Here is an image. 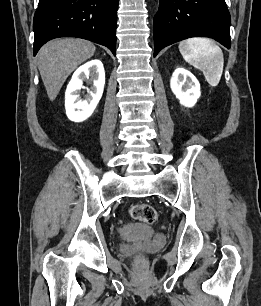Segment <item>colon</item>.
I'll return each mask as SVG.
<instances>
[{"instance_id":"1","label":"colon","mask_w":261,"mask_h":306,"mask_svg":"<svg viewBox=\"0 0 261 306\" xmlns=\"http://www.w3.org/2000/svg\"><path fill=\"white\" fill-rule=\"evenodd\" d=\"M132 218L144 222L146 224H153L157 219V212L155 208L149 204H136L129 209ZM136 261L139 265L144 263V257L138 256Z\"/></svg>"}]
</instances>
